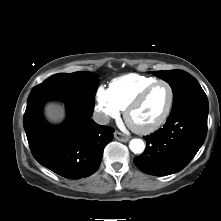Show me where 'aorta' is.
Masks as SVG:
<instances>
[{
    "label": "aorta",
    "instance_id": "1",
    "mask_svg": "<svg viewBox=\"0 0 221 221\" xmlns=\"http://www.w3.org/2000/svg\"><path fill=\"white\" fill-rule=\"evenodd\" d=\"M130 150L135 154H140L145 149V144L141 139H132L129 144Z\"/></svg>",
    "mask_w": 221,
    "mask_h": 221
}]
</instances>
